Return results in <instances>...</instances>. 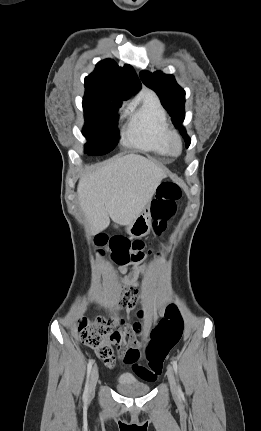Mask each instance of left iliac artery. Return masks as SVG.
Segmentation results:
<instances>
[{"label": "left iliac artery", "instance_id": "left-iliac-artery-1", "mask_svg": "<svg viewBox=\"0 0 261 431\" xmlns=\"http://www.w3.org/2000/svg\"><path fill=\"white\" fill-rule=\"evenodd\" d=\"M172 365H173V368H174L175 373L177 374L178 366H177V362H176L174 359H172ZM178 392H179L180 394L182 393L180 386H178Z\"/></svg>", "mask_w": 261, "mask_h": 431}]
</instances>
